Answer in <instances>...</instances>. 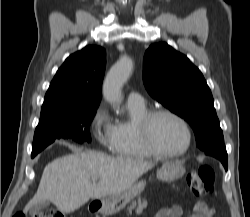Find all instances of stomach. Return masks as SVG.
Returning a JSON list of instances; mask_svg holds the SVG:
<instances>
[{
  "instance_id": "obj_1",
  "label": "stomach",
  "mask_w": 250,
  "mask_h": 217,
  "mask_svg": "<svg viewBox=\"0 0 250 217\" xmlns=\"http://www.w3.org/2000/svg\"><path fill=\"white\" fill-rule=\"evenodd\" d=\"M185 168L179 162L165 163L157 172V178L162 181H174L182 177ZM146 182H135L131 187L120 193L101 198L98 202V211L103 215H112L123 209L131 200L139 195L145 188Z\"/></svg>"
}]
</instances>
